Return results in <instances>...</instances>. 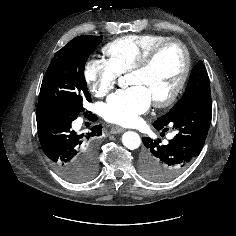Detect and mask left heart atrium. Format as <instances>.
<instances>
[{
  "instance_id": "39dd6f15",
  "label": "left heart atrium",
  "mask_w": 236,
  "mask_h": 236,
  "mask_svg": "<svg viewBox=\"0 0 236 236\" xmlns=\"http://www.w3.org/2000/svg\"><path fill=\"white\" fill-rule=\"evenodd\" d=\"M152 102L148 91L140 85L113 94L103 108L106 121L122 126L133 125L138 116L145 113Z\"/></svg>"
}]
</instances>
